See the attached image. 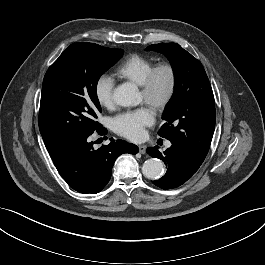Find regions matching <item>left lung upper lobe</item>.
Returning a JSON list of instances; mask_svg holds the SVG:
<instances>
[{"label":"left lung upper lobe","mask_w":265,"mask_h":265,"mask_svg":"<svg viewBox=\"0 0 265 265\" xmlns=\"http://www.w3.org/2000/svg\"><path fill=\"white\" fill-rule=\"evenodd\" d=\"M147 51L164 53L175 78L174 93L162 119L166 123L158 134L204 161L215 128V102L202 64L176 43L150 45Z\"/></svg>","instance_id":"5c2ea615"}]
</instances>
